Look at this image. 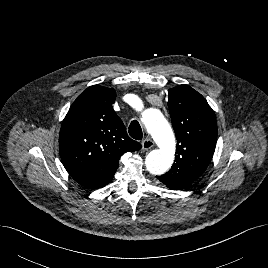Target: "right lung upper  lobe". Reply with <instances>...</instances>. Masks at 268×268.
<instances>
[{"label": "right lung upper lobe", "mask_w": 268, "mask_h": 268, "mask_svg": "<svg viewBox=\"0 0 268 268\" xmlns=\"http://www.w3.org/2000/svg\"><path fill=\"white\" fill-rule=\"evenodd\" d=\"M115 99L113 88L90 86L74 101L62 122V163L76 182L89 189L110 183L120 157L142 147L128 136L113 110Z\"/></svg>", "instance_id": "obj_1"}]
</instances>
